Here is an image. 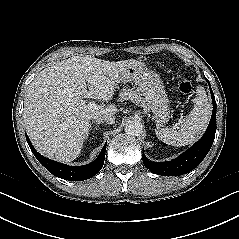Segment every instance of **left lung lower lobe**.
Listing matches in <instances>:
<instances>
[{"label": "left lung lower lobe", "mask_w": 239, "mask_h": 239, "mask_svg": "<svg viewBox=\"0 0 239 239\" xmlns=\"http://www.w3.org/2000/svg\"><path fill=\"white\" fill-rule=\"evenodd\" d=\"M206 81L208 80L206 79ZM208 84L211 92V98L213 101V112L210 123L203 137L198 142H196L192 147H190L176 159L171 161L152 162L149 159H147L143 154L142 155L143 164L151 172L164 176L186 174L192 171L194 168H196L209 152L213 144L216 132V101L209 81Z\"/></svg>", "instance_id": "obj_1"}]
</instances>
